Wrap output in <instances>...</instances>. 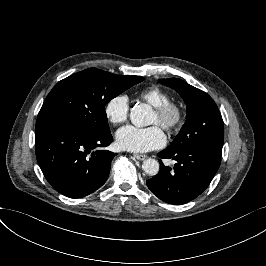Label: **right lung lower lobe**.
I'll return each instance as SVG.
<instances>
[{"label": "right lung lower lobe", "mask_w": 266, "mask_h": 266, "mask_svg": "<svg viewBox=\"0 0 266 266\" xmlns=\"http://www.w3.org/2000/svg\"><path fill=\"white\" fill-rule=\"evenodd\" d=\"M112 140L111 132L94 134L71 124L56 123L35 132L37 161L56 191L81 198L107 180L115 154L98 149L107 147Z\"/></svg>", "instance_id": "98d812e1"}]
</instances>
